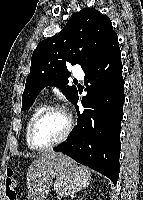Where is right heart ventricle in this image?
Instances as JSON below:
<instances>
[{
    "instance_id": "obj_1",
    "label": "right heart ventricle",
    "mask_w": 143,
    "mask_h": 200,
    "mask_svg": "<svg viewBox=\"0 0 143 200\" xmlns=\"http://www.w3.org/2000/svg\"><path fill=\"white\" fill-rule=\"evenodd\" d=\"M44 104L42 102L38 103L34 109L32 110L31 114L28 117L27 123H26V127H25V139H26V143L28 145V147L30 149H34L30 143H29V139H28V131H29V127L33 121V119L41 112V110L44 108Z\"/></svg>"
}]
</instances>
